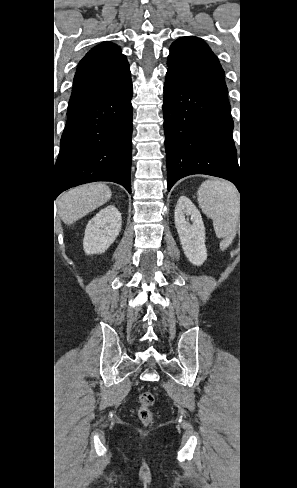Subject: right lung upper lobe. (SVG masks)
Listing matches in <instances>:
<instances>
[{"instance_id": "cb5924a9", "label": "right lung upper lobe", "mask_w": 297, "mask_h": 488, "mask_svg": "<svg viewBox=\"0 0 297 488\" xmlns=\"http://www.w3.org/2000/svg\"><path fill=\"white\" fill-rule=\"evenodd\" d=\"M128 74L129 64L117 45L103 42L94 47L78 64L68 110L100 95Z\"/></svg>"}]
</instances>
